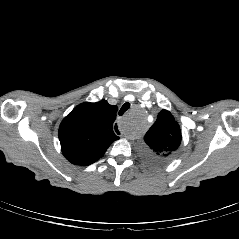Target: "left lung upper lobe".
<instances>
[{"label": "left lung upper lobe", "mask_w": 239, "mask_h": 239, "mask_svg": "<svg viewBox=\"0 0 239 239\" xmlns=\"http://www.w3.org/2000/svg\"><path fill=\"white\" fill-rule=\"evenodd\" d=\"M181 138L180 127L172 114L162 110L144 137L143 153L154 162L168 161L176 154Z\"/></svg>", "instance_id": "1"}]
</instances>
